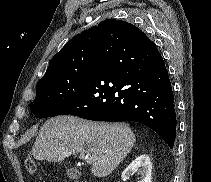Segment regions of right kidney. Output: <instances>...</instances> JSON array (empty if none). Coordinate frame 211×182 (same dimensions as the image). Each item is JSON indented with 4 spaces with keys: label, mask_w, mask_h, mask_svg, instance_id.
<instances>
[{
    "label": "right kidney",
    "mask_w": 211,
    "mask_h": 182,
    "mask_svg": "<svg viewBox=\"0 0 211 182\" xmlns=\"http://www.w3.org/2000/svg\"><path fill=\"white\" fill-rule=\"evenodd\" d=\"M135 172L141 175L139 182H151L152 162L148 155H139L136 159H134L123 171L122 178L126 180Z\"/></svg>",
    "instance_id": "1"
}]
</instances>
